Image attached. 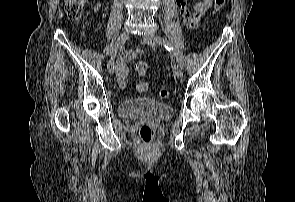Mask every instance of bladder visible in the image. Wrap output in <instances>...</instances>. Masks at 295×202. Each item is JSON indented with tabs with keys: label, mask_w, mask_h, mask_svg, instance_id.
<instances>
[{
	"label": "bladder",
	"mask_w": 295,
	"mask_h": 202,
	"mask_svg": "<svg viewBox=\"0 0 295 202\" xmlns=\"http://www.w3.org/2000/svg\"><path fill=\"white\" fill-rule=\"evenodd\" d=\"M173 109L165 102L149 97L136 98L123 102L119 114L126 118L145 117L155 121H167L173 116Z\"/></svg>",
	"instance_id": "1"
}]
</instances>
